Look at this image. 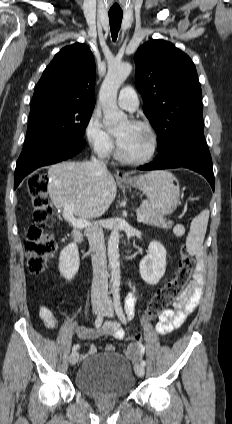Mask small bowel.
<instances>
[{
  "instance_id": "small-bowel-1",
  "label": "small bowel",
  "mask_w": 232,
  "mask_h": 424,
  "mask_svg": "<svg viewBox=\"0 0 232 424\" xmlns=\"http://www.w3.org/2000/svg\"><path fill=\"white\" fill-rule=\"evenodd\" d=\"M204 282L202 257H199L198 267L194 273L193 280L188 288L179 296L174 304L173 309H166L159 315V323L157 324L158 333L164 335L180 328L185 322L187 316L197 307L201 289ZM136 297L133 293L126 296L125 303L127 305H135ZM40 316L47 328L53 330L56 326L55 318L51 310L42 306L40 309ZM72 328L77 333L78 337L83 340H95L102 336H111L116 339H123L125 337L124 331L119 323L109 321L105 322L101 328H87L78 326L75 322L71 323ZM107 352H115L116 347L112 344L106 346ZM143 346L140 343L127 345L124 353L133 361L140 359L143 354ZM98 352L95 345H91L88 349L89 355H94Z\"/></svg>"
}]
</instances>
